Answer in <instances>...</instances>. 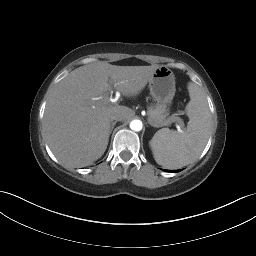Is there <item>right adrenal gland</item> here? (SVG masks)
I'll use <instances>...</instances> for the list:
<instances>
[{
  "mask_svg": "<svg viewBox=\"0 0 256 256\" xmlns=\"http://www.w3.org/2000/svg\"><path fill=\"white\" fill-rule=\"evenodd\" d=\"M116 123H117V121H114V122L111 123L110 134L112 133V131H113V129H114Z\"/></svg>",
  "mask_w": 256,
  "mask_h": 256,
  "instance_id": "obj_1",
  "label": "right adrenal gland"
}]
</instances>
